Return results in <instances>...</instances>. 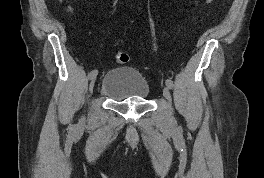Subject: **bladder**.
Masks as SVG:
<instances>
[{"label": "bladder", "instance_id": "obj_1", "mask_svg": "<svg viewBox=\"0 0 264 178\" xmlns=\"http://www.w3.org/2000/svg\"><path fill=\"white\" fill-rule=\"evenodd\" d=\"M100 93L113 101L146 100L150 86L143 74L133 67H117L108 71L101 82Z\"/></svg>", "mask_w": 264, "mask_h": 178}]
</instances>
